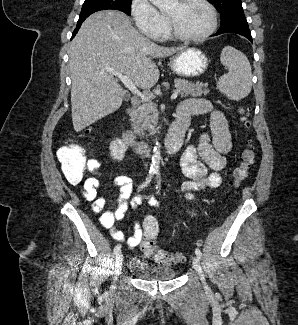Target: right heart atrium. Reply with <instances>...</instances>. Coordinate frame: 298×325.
<instances>
[{
  "label": "right heart atrium",
  "instance_id": "obj_1",
  "mask_svg": "<svg viewBox=\"0 0 298 325\" xmlns=\"http://www.w3.org/2000/svg\"><path fill=\"white\" fill-rule=\"evenodd\" d=\"M131 14L147 41H166V34H163L167 27L166 18L151 0H134Z\"/></svg>",
  "mask_w": 298,
  "mask_h": 325
}]
</instances>
